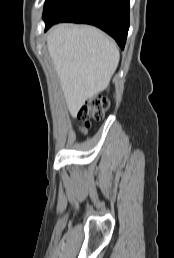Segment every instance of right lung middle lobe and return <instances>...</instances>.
Wrapping results in <instances>:
<instances>
[{
    "label": "right lung middle lobe",
    "instance_id": "right-lung-middle-lobe-1",
    "mask_svg": "<svg viewBox=\"0 0 174 258\" xmlns=\"http://www.w3.org/2000/svg\"><path fill=\"white\" fill-rule=\"evenodd\" d=\"M65 0H46L44 5L43 19L47 20Z\"/></svg>",
    "mask_w": 174,
    "mask_h": 258
}]
</instances>
